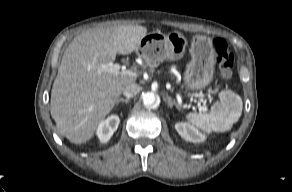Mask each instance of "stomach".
I'll return each instance as SVG.
<instances>
[{
	"label": "stomach",
	"mask_w": 292,
	"mask_h": 192,
	"mask_svg": "<svg viewBox=\"0 0 292 192\" xmlns=\"http://www.w3.org/2000/svg\"><path fill=\"white\" fill-rule=\"evenodd\" d=\"M187 44V39L180 32L165 35L156 31L140 40L136 52L148 63L178 61L184 56ZM189 53L191 60L184 73L185 85L190 90L204 89L213 80L215 71L216 54L212 40L204 35L194 36Z\"/></svg>",
	"instance_id": "obj_1"
}]
</instances>
